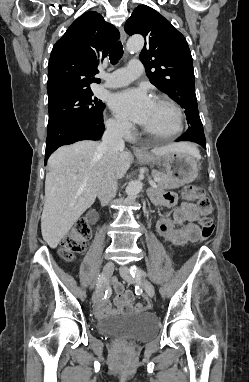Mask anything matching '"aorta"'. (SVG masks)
Segmentation results:
<instances>
[{"instance_id": "762f6f07", "label": "aorta", "mask_w": 249, "mask_h": 382, "mask_svg": "<svg viewBox=\"0 0 249 382\" xmlns=\"http://www.w3.org/2000/svg\"><path fill=\"white\" fill-rule=\"evenodd\" d=\"M144 45V39L140 35H135L129 38L127 41V50L131 53L139 52ZM143 188V183L140 180L132 181L126 187V194L133 196L138 194Z\"/></svg>"}]
</instances>
